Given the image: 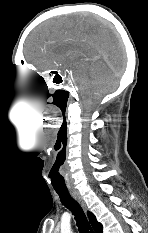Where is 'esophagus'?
Segmentation results:
<instances>
[{"label": "esophagus", "mask_w": 148, "mask_h": 233, "mask_svg": "<svg viewBox=\"0 0 148 233\" xmlns=\"http://www.w3.org/2000/svg\"><path fill=\"white\" fill-rule=\"evenodd\" d=\"M69 192L71 196L82 206V208L85 209V204L80 194L76 190H70Z\"/></svg>", "instance_id": "esophagus-1"}]
</instances>
